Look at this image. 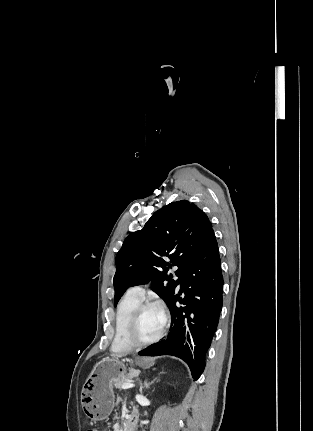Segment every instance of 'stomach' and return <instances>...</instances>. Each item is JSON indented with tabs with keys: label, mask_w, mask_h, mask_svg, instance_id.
Masks as SVG:
<instances>
[{
	"label": "stomach",
	"mask_w": 313,
	"mask_h": 431,
	"mask_svg": "<svg viewBox=\"0 0 313 431\" xmlns=\"http://www.w3.org/2000/svg\"><path fill=\"white\" fill-rule=\"evenodd\" d=\"M137 366L147 367L154 364V359L137 357ZM135 371L128 368L118 358H104L93 369L82 388L81 404L85 415L91 421L106 419L114 407L113 384L122 377Z\"/></svg>",
	"instance_id": "stomach-1"
}]
</instances>
